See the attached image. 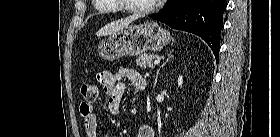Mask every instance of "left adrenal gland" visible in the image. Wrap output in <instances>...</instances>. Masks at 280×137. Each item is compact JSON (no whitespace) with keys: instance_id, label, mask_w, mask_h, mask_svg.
<instances>
[{"instance_id":"a2214340","label":"left adrenal gland","mask_w":280,"mask_h":137,"mask_svg":"<svg viewBox=\"0 0 280 137\" xmlns=\"http://www.w3.org/2000/svg\"><path fill=\"white\" fill-rule=\"evenodd\" d=\"M172 57H173V54H172V52H170V53L168 54V58L166 59V61L157 69V72H156V79H155L154 86H155L156 83H157L158 74H159V71H160L161 67H163V66L169 61V59H171Z\"/></svg>"}]
</instances>
